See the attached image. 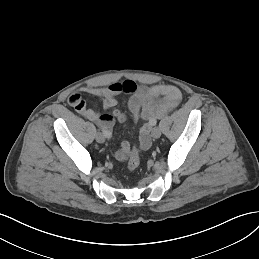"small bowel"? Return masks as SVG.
<instances>
[{"label":"small bowel","instance_id":"c3829d8e","mask_svg":"<svg viewBox=\"0 0 259 259\" xmlns=\"http://www.w3.org/2000/svg\"><path fill=\"white\" fill-rule=\"evenodd\" d=\"M80 92L101 98L104 109H112V112L110 114H101L88 108L79 93L71 94L68 98V103L83 117L108 131L113 127L115 121L122 123L126 120L123 112L114 109L117 105V96L122 93L132 94L127 102V108L133 113L138 112L145 121L139 133L141 151H146L150 148L152 143L150 131L157 119L164 117L168 112L176 108L182 100L181 91L173 85L138 86L131 80L112 83L103 87L87 85L81 87ZM130 153V145L123 142L121 148L114 152V156L118 160H125Z\"/></svg>","mask_w":259,"mask_h":259}]
</instances>
